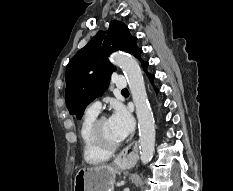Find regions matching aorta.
I'll return each instance as SVG.
<instances>
[{
    "instance_id": "aorta-1",
    "label": "aorta",
    "mask_w": 233,
    "mask_h": 191,
    "mask_svg": "<svg viewBox=\"0 0 233 191\" xmlns=\"http://www.w3.org/2000/svg\"><path fill=\"white\" fill-rule=\"evenodd\" d=\"M110 61L122 69L127 79L138 119L140 158L147 164L155 151V122L141 68L136 59L126 53H113Z\"/></svg>"
}]
</instances>
